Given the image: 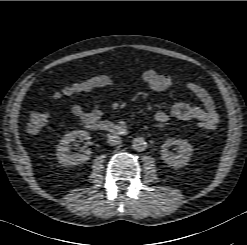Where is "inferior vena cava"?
Instances as JSON below:
<instances>
[{"mask_svg":"<svg viewBox=\"0 0 247 245\" xmlns=\"http://www.w3.org/2000/svg\"><path fill=\"white\" fill-rule=\"evenodd\" d=\"M122 140L119 136L113 134L108 136V143L110 145H119L121 144Z\"/></svg>","mask_w":247,"mask_h":245,"instance_id":"inferior-vena-cava-1","label":"inferior vena cava"}]
</instances>
